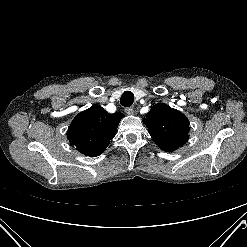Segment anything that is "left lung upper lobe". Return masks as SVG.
I'll return each instance as SVG.
<instances>
[{
    "mask_svg": "<svg viewBox=\"0 0 247 247\" xmlns=\"http://www.w3.org/2000/svg\"><path fill=\"white\" fill-rule=\"evenodd\" d=\"M143 122L154 142L163 151H175L188 139V119L183 113L166 104L152 106Z\"/></svg>",
    "mask_w": 247,
    "mask_h": 247,
    "instance_id": "1",
    "label": "left lung upper lobe"
}]
</instances>
